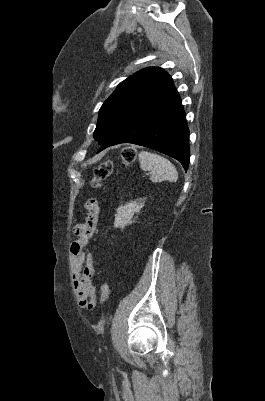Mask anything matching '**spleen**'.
<instances>
[{
	"instance_id": "obj_1",
	"label": "spleen",
	"mask_w": 265,
	"mask_h": 401,
	"mask_svg": "<svg viewBox=\"0 0 265 401\" xmlns=\"http://www.w3.org/2000/svg\"><path fill=\"white\" fill-rule=\"evenodd\" d=\"M138 158L142 170H151L150 180L152 182H162V180L175 182L177 180L178 172L168 158L154 154V152H147V150H141Z\"/></svg>"
}]
</instances>
